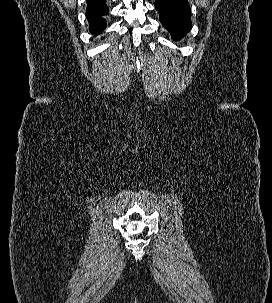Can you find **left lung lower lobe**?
<instances>
[{"instance_id":"obj_1","label":"left lung lower lobe","mask_w":272,"mask_h":303,"mask_svg":"<svg viewBox=\"0 0 272 303\" xmlns=\"http://www.w3.org/2000/svg\"><path fill=\"white\" fill-rule=\"evenodd\" d=\"M161 24L176 41L183 38L191 29V9L188 0H155Z\"/></svg>"}]
</instances>
